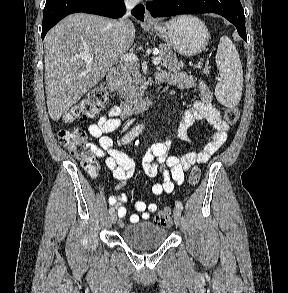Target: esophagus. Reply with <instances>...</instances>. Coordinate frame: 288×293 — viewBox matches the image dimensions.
<instances>
[{
	"mask_svg": "<svg viewBox=\"0 0 288 293\" xmlns=\"http://www.w3.org/2000/svg\"><path fill=\"white\" fill-rule=\"evenodd\" d=\"M145 22L147 24L155 23V19L151 16V14L147 10L145 11Z\"/></svg>",
	"mask_w": 288,
	"mask_h": 293,
	"instance_id": "esophagus-1",
	"label": "esophagus"
}]
</instances>
